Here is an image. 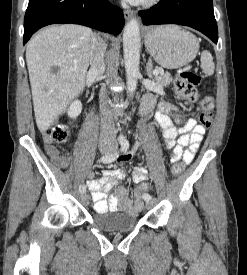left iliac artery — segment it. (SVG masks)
Instances as JSON below:
<instances>
[{"label": "left iliac artery", "instance_id": "44dca946", "mask_svg": "<svg viewBox=\"0 0 247 275\" xmlns=\"http://www.w3.org/2000/svg\"><path fill=\"white\" fill-rule=\"evenodd\" d=\"M128 148H129V142H128V140L126 138H122L121 139V150L123 152H125V151H127ZM143 199L145 201L150 200L151 199V195L148 194V193H145V194H143Z\"/></svg>", "mask_w": 247, "mask_h": 275}]
</instances>
